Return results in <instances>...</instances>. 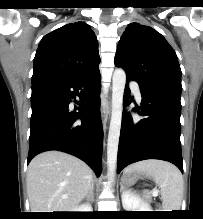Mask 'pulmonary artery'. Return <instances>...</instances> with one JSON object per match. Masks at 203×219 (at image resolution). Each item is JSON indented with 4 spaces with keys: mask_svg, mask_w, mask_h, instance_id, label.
Masks as SVG:
<instances>
[{
    "mask_svg": "<svg viewBox=\"0 0 203 219\" xmlns=\"http://www.w3.org/2000/svg\"><path fill=\"white\" fill-rule=\"evenodd\" d=\"M130 87L133 90L135 97L138 100H141V93H140L139 85L136 82L132 81V82H130Z\"/></svg>",
    "mask_w": 203,
    "mask_h": 219,
    "instance_id": "1",
    "label": "pulmonary artery"
}]
</instances>
